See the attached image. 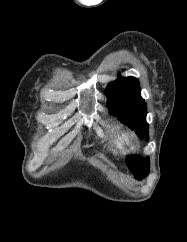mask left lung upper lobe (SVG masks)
I'll list each match as a JSON object with an SVG mask.
<instances>
[{"mask_svg": "<svg viewBox=\"0 0 187 242\" xmlns=\"http://www.w3.org/2000/svg\"><path fill=\"white\" fill-rule=\"evenodd\" d=\"M140 85L135 77H122L111 82L106 90L107 107L117 115L119 120L130 127L141 139L148 140V124L146 123V103L141 97ZM128 168L137 179L149 173V158L130 156L126 159Z\"/></svg>", "mask_w": 187, "mask_h": 242, "instance_id": "obj_1", "label": "left lung upper lobe"}]
</instances>
